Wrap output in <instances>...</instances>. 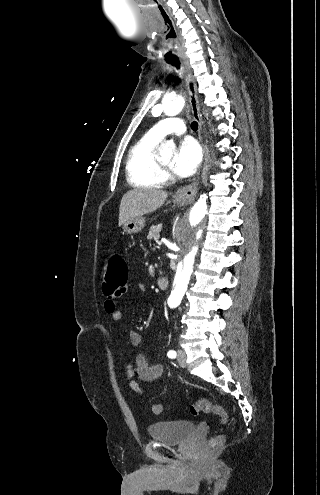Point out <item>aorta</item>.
<instances>
[{
  "instance_id": "762f6f07",
  "label": "aorta",
  "mask_w": 320,
  "mask_h": 495,
  "mask_svg": "<svg viewBox=\"0 0 320 495\" xmlns=\"http://www.w3.org/2000/svg\"><path fill=\"white\" fill-rule=\"evenodd\" d=\"M185 106V99L181 96H166L161 106H155L152 113L163 112L166 116L178 115ZM175 144L166 142L159 148L161 155L172 153ZM217 207L206 195H201L192 207L190 213L181 221L176 231L179 246L178 267L176 270L173 288L168 305L176 308L180 305L187 290L188 283L193 272L195 259L199 253L202 239L212 224ZM200 236V238H199Z\"/></svg>"
}]
</instances>
